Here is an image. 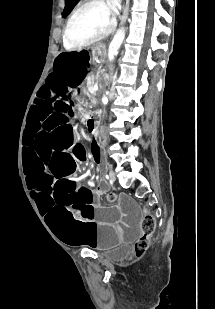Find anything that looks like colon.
Here are the masks:
<instances>
[{
	"label": "colon",
	"mask_w": 215,
	"mask_h": 309,
	"mask_svg": "<svg viewBox=\"0 0 215 309\" xmlns=\"http://www.w3.org/2000/svg\"><path fill=\"white\" fill-rule=\"evenodd\" d=\"M108 200L110 204H114L116 196L113 193L108 194ZM143 235L134 243L135 254L145 253L149 245V237L155 229V220L150 214H145L143 216L142 222Z\"/></svg>",
	"instance_id": "colon-1"
}]
</instances>
